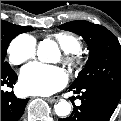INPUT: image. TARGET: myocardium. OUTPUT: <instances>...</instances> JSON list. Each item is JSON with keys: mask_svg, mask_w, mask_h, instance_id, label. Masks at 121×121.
<instances>
[{"mask_svg": "<svg viewBox=\"0 0 121 121\" xmlns=\"http://www.w3.org/2000/svg\"><path fill=\"white\" fill-rule=\"evenodd\" d=\"M69 67H76L79 64V57L76 54H69L63 58Z\"/></svg>", "mask_w": 121, "mask_h": 121, "instance_id": "1", "label": "myocardium"}]
</instances>
